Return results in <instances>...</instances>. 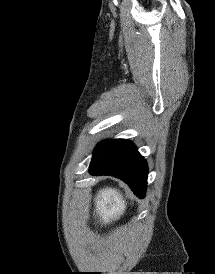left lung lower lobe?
<instances>
[{"instance_id": "left-lung-lower-lobe-1", "label": "left lung lower lobe", "mask_w": 215, "mask_h": 274, "mask_svg": "<svg viewBox=\"0 0 215 274\" xmlns=\"http://www.w3.org/2000/svg\"><path fill=\"white\" fill-rule=\"evenodd\" d=\"M89 172L120 178L139 198L145 197L147 163L131 141L112 139L101 143L93 152Z\"/></svg>"}]
</instances>
